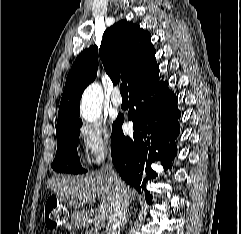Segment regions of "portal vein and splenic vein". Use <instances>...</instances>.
<instances>
[{
    "label": "portal vein and splenic vein",
    "instance_id": "portal-vein-and-splenic-vein-1",
    "mask_svg": "<svg viewBox=\"0 0 241 234\" xmlns=\"http://www.w3.org/2000/svg\"><path fill=\"white\" fill-rule=\"evenodd\" d=\"M86 202H94V200H89L88 197L83 199ZM104 223V217L102 215H96L93 220L94 227H101Z\"/></svg>",
    "mask_w": 241,
    "mask_h": 234
}]
</instances>
